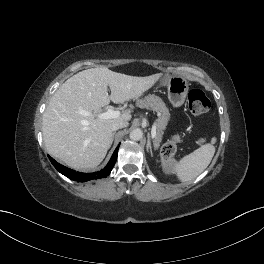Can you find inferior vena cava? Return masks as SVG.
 Listing matches in <instances>:
<instances>
[{
  "label": "inferior vena cava",
  "instance_id": "602c4592",
  "mask_svg": "<svg viewBox=\"0 0 264 264\" xmlns=\"http://www.w3.org/2000/svg\"><path fill=\"white\" fill-rule=\"evenodd\" d=\"M124 127H127V123L126 122L115 123L112 126V131H116V130L121 129V128H124Z\"/></svg>",
  "mask_w": 264,
  "mask_h": 264
}]
</instances>
